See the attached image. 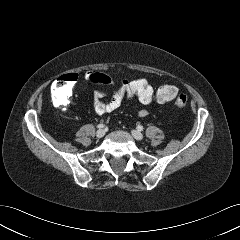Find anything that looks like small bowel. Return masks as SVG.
<instances>
[{"label": "small bowel", "instance_id": "small-bowel-1", "mask_svg": "<svg viewBox=\"0 0 240 240\" xmlns=\"http://www.w3.org/2000/svg\"><path fill=\"white\" fill-rule=\"evenodd\" d=\"M91 75V72H88L86 76L90 77ZM108 91L109 86L98 89L94 92L92 103L94 110L98 115H106L117 110L122 105L124 99H133L126 89L125 80L119 83L113 93L112 99L105 103L102 101V98L108 93ZM137 114L140 117H146L149 115V112L146 109H139Z\"/></svg>", "mask_w": 240, "mask_h": 240}]
</instances>
